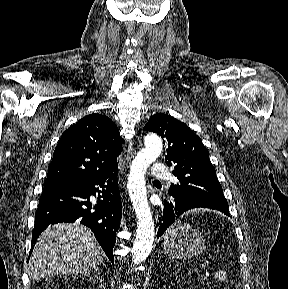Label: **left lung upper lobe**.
I'll list each match as a JSON object with an SVG mask.
<instances>
[{"mask_svg": "<svg viewBox=\"0 0 288 289\" xmlns=\"http://www.w3.org/2000/svg\"><path fill=\"white\" fill-rule=\"evenodd\" d=\"M143 130L159 134L167 146L165 163L175 165L172 173L180 182L171 184L168 192L172 198L199 200L229 212L209 152L199 136L186 124L159 113L149 119Z\"/></svg>", "mask_w": 288, "mask_h": 289, "instance_id": "5c2ea615", "label": "left lung upper lobe"}]
</instances>
